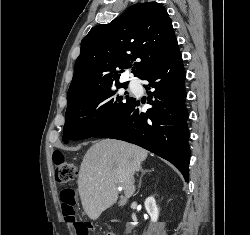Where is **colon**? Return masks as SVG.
<instances>
[{
    "mask_svg": "<svg viewBox=\"0 0 250 235\" xmlns=\"http://www.w3.org/2000/svg\"><path fill=\"white\" fill-rule=\"evenodd\" d=\"M55 178L59 184L69 183L77 177L78 170L75 163L67 160L61 153L53 156ZM62 211L67 222L73 224L78 235H89V227L76 217L77 195L74 190L64 189L60 193Z\"/></svg>",
    "mask_w": 250,
    "mask_h": 235,
    "instance_id": "obj_1",
    "label": "colon"
}]
</instances>
